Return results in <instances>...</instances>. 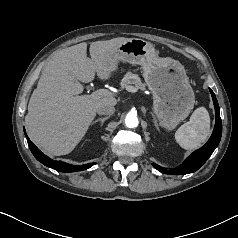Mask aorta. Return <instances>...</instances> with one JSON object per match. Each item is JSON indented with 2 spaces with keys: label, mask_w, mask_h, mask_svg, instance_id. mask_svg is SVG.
Masks as SVG:
<instances>
[{
  "label": "aorta",
  "mask_w": 238,
  "mask_h": 238,
  "mask_svg": "<svg viewBox=\"0 0 238 238\" xmlns=\"http://www.w3.org/2000/svg\"><path fill=\"white\" fill-rule=\"evenodd\" d=\"M139 124L136 113L129 112L125 117V125L128 128H135Z\"/></svg>",
  "instance_id": "1"
}]
</instances>
